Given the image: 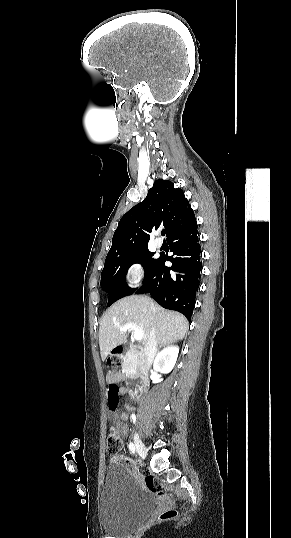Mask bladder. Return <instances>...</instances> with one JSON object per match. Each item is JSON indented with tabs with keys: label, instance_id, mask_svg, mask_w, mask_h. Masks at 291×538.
I'll use <instances>...</instances> for the list:
<instances>
[{
	"label": "bladder",
	"instance_id": "bladder-1",
	"mask_svg": "<svg viewBox=\"0 0 291 538\" xmlns=\"http://www.w3.org/2000/svg\"><path fill=\"white\" fill-rule=\"evenodd\" d=\"M155 502L122 464L105 469L100 496V524L105 532L122 536L136 529L154 510Z\"/></svg>",
	"mask_w": 291,
	"mask_h": 538
}]
</instances>
